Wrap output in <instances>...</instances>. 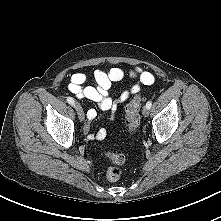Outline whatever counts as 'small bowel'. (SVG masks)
Returning <instances> with one entry per match:
<instances>
[{"label":"small bowel","mask_w":221,"mask_h":221,"mask_svg":"<svg viewBox=\"0 0 221 221\" xmlns=\"http://www.w3.org/2000/svg\"><path fill=\"white\" fill-rule=\"evenodd\" d=\"M125 77L137 79L138 82L125 90H123L117 99L114 101L109 95V90L113 83L123 80ZM155 81V76L143 69L141 66H131L127 71L114 67L109 71L96 70L93 74V84L86 85L87 76L84 73L76 72L71 75L68 84V90L79 99H89L97 103L98 107L106 113L109 121H113L116 117L118 102H125L133 95L139 92L141 85H152ZM97 113L94 109L87 111L88 121L93 120ZM83 131L88 134L90 140H104L107 136L105 129H99L94 134H90V124L87 123Z\"/></svg>","instance_id":"obj_1"}]
</instances>
